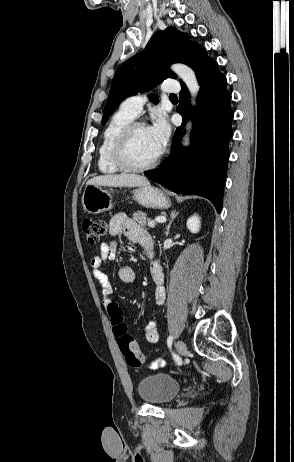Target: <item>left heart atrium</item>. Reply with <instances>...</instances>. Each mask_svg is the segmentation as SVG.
I'll return each mask as SVG.
<instances>
[{"label": "left heart atrium", "instance_id": "39dd6f15", "mask_svg": "<svg viewBox=\"0 0 294 462\" xmlns=\"http://www.w3.org/2000/svg\"><path fill=\"white\" fill-rule=\"evenodd\" d=\"M148 129L159 152L163 151L170 136V127L166 119L158 116Z\"/></svg>", "mask_w": 294, "mask_h": 462}]
</instances>
